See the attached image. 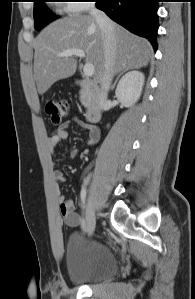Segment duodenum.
<instances>
[{
  "instance_id": "obj_1",
  "label": "duodenum",
  "mask_w": 195,
  "mask_h": 299,
  "mask_svg": "<svg viewBox=\"0 0 195 299\" xmlns=\"http://www.w3.org/2000/svg\"><path fill=\"white\" fill-rule=\"evenodd\" d=\"M77 82L83 91L87 104L85 119L89 123H97L101 119L104 103L101 90L94 82L86 80H78Z\"/></svg>"
}]
</instances>
